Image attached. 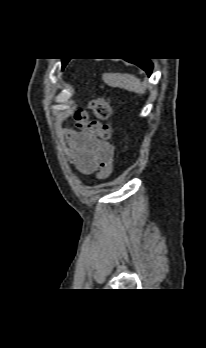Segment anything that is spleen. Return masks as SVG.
<instances>
[{
  "label": "spleen",
  "instance_id": "1",
  "mask_svg": "<svg viewBox=\"0 0 206 348\" xmlns=\"http://www.w3.org/2000/svg\"><path fill=\"white\" fill-rule=\"evenodd\" d=\"M104 82L111 87H119L130 92L144 94L145 84L132 74L127 73H107L103 76Z\"/></svg>",
  "mask_w": 206,
  "mask_h": 348
}]
</instances>
